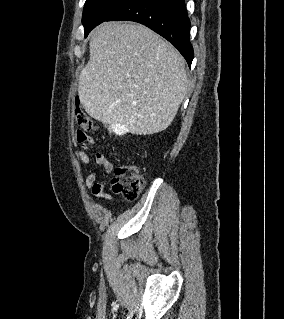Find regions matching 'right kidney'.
<instances>
[{
  "label": "right kidney",
  "instance_id": "ca27d5eb",
  "mask_svg": "<svg viewBox=\"0 0 284 319\" xmlns=\"http://www.w3.org/2000/svg\"><path fill=\"white\" fill-rule=\"evenodd\" d=\"M112 128H113V131L119 135H122L128 131L124 126H117L116 125V126H112Z\"/></svg>",
  "mask_w": 284,
  "mask_h": 319
}]
</instances>
